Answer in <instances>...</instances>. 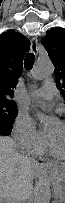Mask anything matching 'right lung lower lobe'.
Returning <instances> with one entry per match:
<instances>
[{
	"instance_id": "1",
	"label": "right lung lower lobe",
	"mask_w": 65,
	"mask_h": 203,
	"mask_svg": "<svg viewBox=\"0 0 65 203\" xmlns=\"http://www.w3.org/2000/svg\"><path fill=\"white\" fill-rule=\"evenodd\" d=\"M1 134H3V135H10L11 133L9 134V133H7L5 130L0 129V135H1Z\"/></svg>"
}]
</instances>
